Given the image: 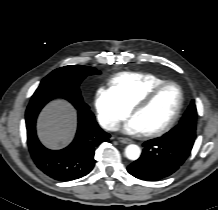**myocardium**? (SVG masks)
Wrapping results in <instances>:
<instances>
[{
    "label": "myocardium",
    "instance_id": "1",
    "mask_svg": "<svg viewBox=\"0 0 218 210\" xmlns=\"http://www.w3.org/2000/svg\"><path fill=\"white\" fill-rule=\"evenodd\" d=\"M168 85H174L178 89L179 103H178L177 109H176L173 117L171 118V120L163 127L156 129V130H153V131L142 132V135L145 137H158V136H161V135L167 133L175 126V124L178 122V120L181 116L183 106H184V92H183L181 85L179 83H177L176 81H172V80H165V81L155 85L153 88H151L132 107L131 115L134 116L136 114V112L147 107L154 100V98L157 96V94Z\"/></svg>",
    "mask_w": 218,
    "mask_h": 210
}]
</instances>
